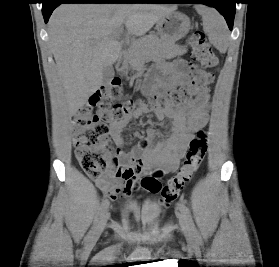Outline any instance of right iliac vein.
I'll return each mask as SVG.
<instances>
[{"mask_svg": "<svg viewBox=\"0 0 279 267\" xmlns=\"http://www.w3.org/2000/svg\"><path fill=\"white\" fill-rule=\"evenodd\" d=\"M107 219H108V214H103L101 220L99 221L98 225L96 226L94 232H93V235H92V240L93 241H96L101 233L103 232L105 226H106V222H107Z\"/></svg>", "mask_w": 279, "mask_h": 267, "instance_id": "63e3f726", "label": "right iliac vein"}]
</instances>
